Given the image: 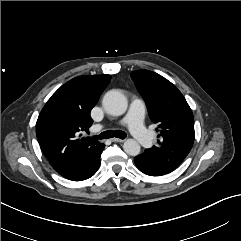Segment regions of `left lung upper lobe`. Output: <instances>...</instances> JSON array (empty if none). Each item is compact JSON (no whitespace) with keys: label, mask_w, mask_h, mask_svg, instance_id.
<instances>
[{"label":"left lung upper lobe","mask_w":241,"mask_h":241,"mask_svg":"<svg viewBox=\"0 0 241 241\" xmlns=\"http://www.w3.org/2000/svg\"><path fill=\"white\" fill-rule=\"evenodd\" d=\"M137 90L146 102L151 120L158 124V146L139 156L146 163L176 169L194 142L193 113L181 92L161 75L148 70L131 73Z\"/></svg>","instance_id":"obj_1"}]
</instances>
